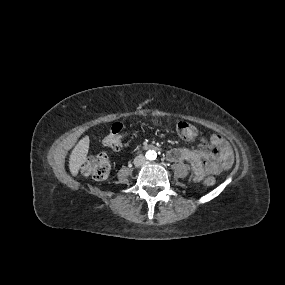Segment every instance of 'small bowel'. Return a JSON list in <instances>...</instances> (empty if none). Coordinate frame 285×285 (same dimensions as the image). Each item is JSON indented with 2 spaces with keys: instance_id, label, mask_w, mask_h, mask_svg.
I'll return each instance as SVG.
<instances>
[{
  "instance_id": "small-bowel-1",
  "label": "small bowel",
  "mask_w": 285,
  "mask_h": 285,
  "mask_svg": "<svg viewBox=\"0 0 285 285\" xmlns=\"http://www.w3.org/2000/svg\"><path fill=\"white\" fill-rule=\"evenodd\" d=\"M203 144L209 146V150L174 148L167 153V158L173 162H190L196 180L202 179L208 173H220L231 168L233 151L228 141L213 135L204 139Z\"/></svg>"
}]
</instances>
